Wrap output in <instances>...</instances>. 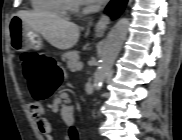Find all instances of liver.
<instances>
[{"mask_svg": "<svg viewBox=\"0 0 182 140\" xmlns=\"http://www.w3.org/2000/svg\"><path fill=\"white\" fill-rule=\"evenodd\" d=\"M18 16L26 22L29 29L41 34L57 49H70L79 39V27L55 14L23 11Z\"/></svg>", "mask_w": 182, "mask_h": 140, "instance_id": "liver-1", "label": "liver"}]
</instances>
